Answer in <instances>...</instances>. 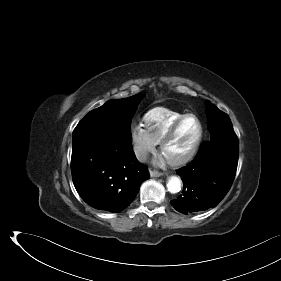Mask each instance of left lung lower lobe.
I'll return each mask as SVG.
<instances>
[{
    "label": "left lung lower lobe",
    "instance_id": "obj_1",
    "mask_svg": "<svg viewBox=\"0 0 281 281\" xmlns=\"http://www.w3.org/2000/svg\"><path fill=\"white\" fill-rule=\"evenodd\" d=\"M238 157L239 143L218 146L205 142L196 158L177 171L184 187L171 205L183 214L215 207L233 183Z\"/></svg>",
    "mask_w": 281,
    "mask_h": 281
}]
</instances>
